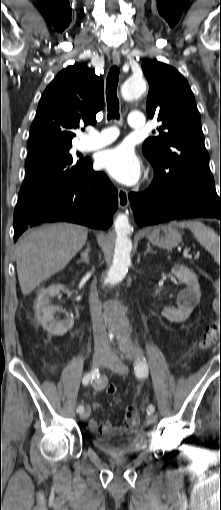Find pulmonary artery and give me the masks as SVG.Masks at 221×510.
<instances>
[{
  "label": "pulmonary artery",
  "mask_w": 221,
  "mask_h": 510,
  "mask_svg": "<svg viewBox=\"0 0 221 510\" xmlns=\"http://www.w3.org/2000/svg\"><path fill=\"white\" fill-rule=\"evenodd\" d=\"M129 126L135 129L144 128V118L140 112H131L128 120ZM118 136V130L114 127H106L99 131H93L88 134L84 148L95 150L112 143Z\"/></svg>",
  "instance_id": "1"
}]
</instances>
